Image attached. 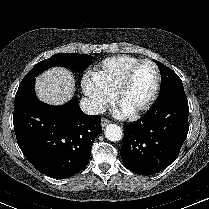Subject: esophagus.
Returning <instances> with one entry per match:
<instances>
[{
	"label": "esophagus",
	"instance_id": "34e87169",
	"mask_svg": "<svg viewBox=\"0 0 209 209\" xmlns=\"http://www.w3.org/2000/svg\"><path fill=\"white\" fill-rule=\"evenodd\" d=\"M110 123V120L106 119V118H102L101 119V126L102 128H104L106 125H108Z\"/></svg>",
	"mask_w": 209,
	"mask_h": 209
}]
</instances>
